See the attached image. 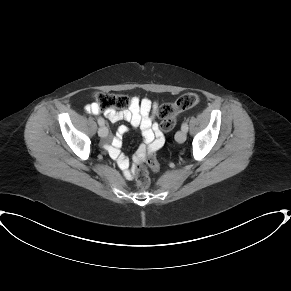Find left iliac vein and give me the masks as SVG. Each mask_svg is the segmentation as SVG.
I'll list each match as a JSON object with an SVG mask.
<instances>
[{
  "mask_svg": "<svg viewBox=\"0 0 291 291\" xmlns=\"http://www.w3.org/2000/svg\"><path fill=\"white\" fill-rule=\"evenodd\" d=\"M175 139L178 143H183L186 140V132L183 130H180L176 133Z\"/></svg>",
  "mask_w": 291,
  "mask_h": 291,
  "instance_id": "1",
  "label": "left iliac vein"
}]
</instances>
